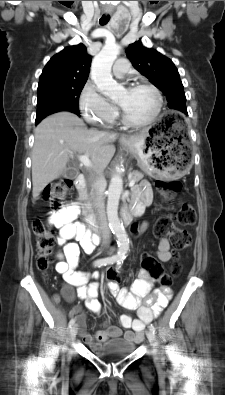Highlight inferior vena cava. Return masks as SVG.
I'll use <instances>...</instances> for the list:
<instances>
[{
    "label": "inferior vena cava",
    "instance_id": "602c4592",
    "mask_svg": "<svg viewBox=\"0 0 225 395\" xmlns=\"http://www.w3.org/2000/svg\"><path fill=\"white\" fill-rule=\"evenodd\" d=\"M105 179L102 174V170H97V177L93 184L95 192H94V202L97 210L98 221L100 226V231L102 234L103 242L102 244L107 247L110 244V235L109 228L106 221V215L104 211V197H103V189L105 186Z\"/></svg>",
    "mask_w": 225,
    "mask_h": 395
}]
</instances>
